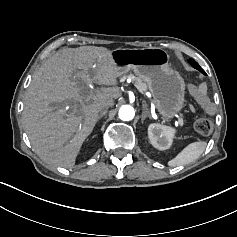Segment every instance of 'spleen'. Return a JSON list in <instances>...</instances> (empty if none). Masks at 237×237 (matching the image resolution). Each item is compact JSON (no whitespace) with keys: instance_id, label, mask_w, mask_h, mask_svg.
<instances>
[{"instance_id":"1","label":"spleen","mask_w":237,"mask_h":237,"mask_svg":"<svg viewBox=\"0 0 237 237\" xmlns=\"http://www.w3.org/2000/svg\"><path fill=\"white\" fill-rule=\"evenodd\" d=\"M206 141H194L185 146L173 159L167 162L168 167L185 166L196 161L205 151Z\"/></svg>"}]
</instances>
